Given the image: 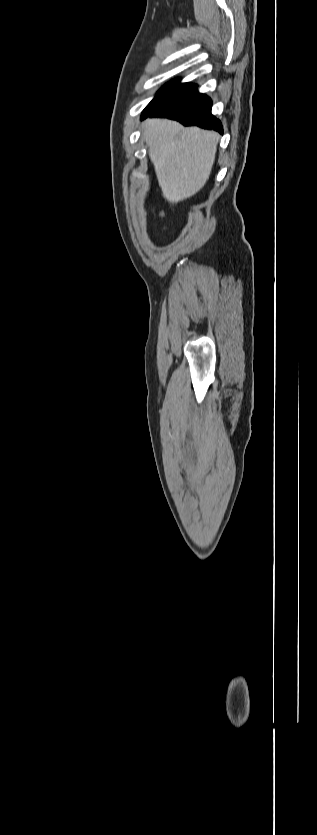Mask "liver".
<instances>
[{
  "label": "liver",
  "instance_id": "6515ba94",
  "mask_svg": "<svg viewBox=\"0 0 317 835\" xmlns=\"http://www.w3.org/2000/svg\"><path fill=\"white\" fill-rule=\"evenodd\" d=\"M142 135L162 195L170 204L190 198L204 187L215 161L218 133L184 128L167 119H148Z\"/></svg>",
  "mask_w": 317,
  "mask_h": 835
}]
</instances>
